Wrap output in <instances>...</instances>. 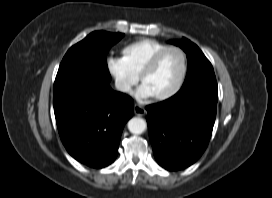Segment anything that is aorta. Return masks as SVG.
I'll return each mask as SVG.
<instances>
[{
    "mask_svg": "<svg viewBox=\"0 0 272 198\" xmlns=\"http://www.w3.org/2000/svg\"><path fill=\"white\" fill-rule=\"evenodd\" d=\"M147 128L146 121L139 117H134L128 122V129L133 134H141Z\"/></svg>",
    "mask_w": 272,
    "mask_h": 198,
    "instance_id": "aorta-1",
    "label": "aorta"
}]
</instances>
